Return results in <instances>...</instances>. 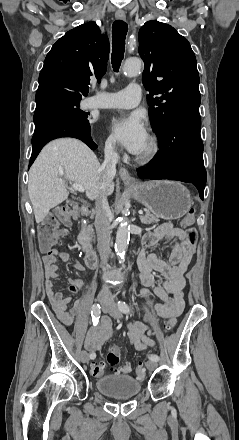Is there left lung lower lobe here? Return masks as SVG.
<instances>
[{
	"mask_svg": "<svg viewBox=\"0 0 239 440\" xmlns=\"http://www.w3.org/2000/svg\"><path fill=\"white\" fill-rule=\"evenodd\" d=\"M200 128V115L185 114L166 122L161 131L156 133L160 151L150 166L137 170L138 176L192 183L203 199L207 174Z\"/></svg>",
	"mask_w": 239,
	"mask_h": 440,
	"instance_id": "obj_1",
	"label": "left lung lower lobe"
}]
</instances>
